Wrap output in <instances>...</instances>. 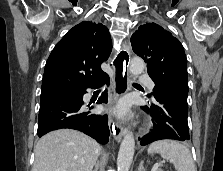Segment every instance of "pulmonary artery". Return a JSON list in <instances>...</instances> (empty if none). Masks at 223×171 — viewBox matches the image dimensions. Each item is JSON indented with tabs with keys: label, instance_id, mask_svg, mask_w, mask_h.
Listing matches in <instances>:
<instances>
[{
	"label": "pulmonary artery",
	"instance_id": "obj_1",
	"mask_svg": "<svg viewBox=\"0 0 223 171\" xmlns=\"http://www.w3.org/2000/svg\"><path fill=\"white\" fill-rule=\"evenodd\" d=\"M139 81L143 84L146 85V87L150 90L153 91L154 89V83L146 76V75H140L139 76Z\"/></svg>",
	"mask_w": 223,
	"mask_h": 171
}]
</instances>
